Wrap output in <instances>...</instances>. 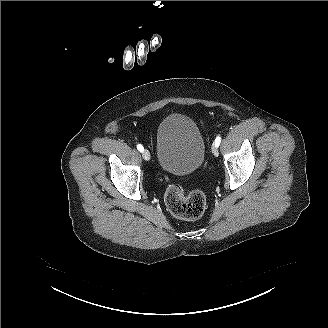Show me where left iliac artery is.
Here are the masks:
<instances>
[{
  "label": "left iliac artery",
  "mask_w": 328,
  "mask_h": 328,
  "mask_svg": "<svg viewBox=\"0 0 328 328\" xmlns=\"http://www.w3.org/2000/svg\"><path fill=\"white\" fill-rule=\"evenodd\" d=\"M220 142H221V137L220 136L216 137V139H215V145L217 147L220 145Z\"/></svg>",
  "instance_id": "44dca946"
}]
</instances>
